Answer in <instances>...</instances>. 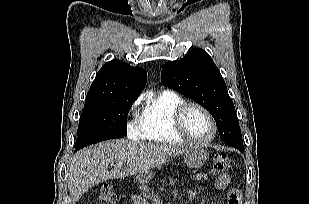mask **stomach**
<instances>
[{
	"label": "stomach",
	"instance_id": "stomach-1",
	"mask_svg": "<svg viewBox=\"0 0 309 204\" xmlns=\"http://www.w3.org/2000/svg\"><path fill=\"white\" fill-rule=\"evenodd\" d=\"M206 159H207V153L201 147H192L188 149L184 155L185 164L187 165V167L191 169H196V168L201 167L205 163ZM154 176H155V171L150 169L147 172L137 174L136 180L140 184L145 185L149 183L150 181H152Z\"/></svg>",
	"mask_w": 309,
	"mask_h": 204
}]
</instances>
